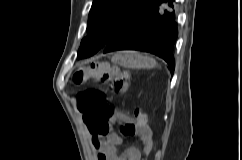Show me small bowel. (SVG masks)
<instances>
[{"label": "small bowel", "instance_id": "obj_1", "mask_svg": "<svg viewBox=\"0 0 242 160\" xmlns=\"http://www.w3.org/2000/svg\"><path fill=\"white\" fill-rule=\"evenodd\" d=\"M136 118L122 112H115L114 121L121 124L120 134L108 129L104 135L92 136V145L97 152V160H141L142 155H147L152 148V134L145 116L135 114ZM134 128L132 135L128 129ZM121 136L136 137L141 146H126L122 151L118 146L122 142Z\"/></svg>", "mask_w": 242, "mask_h": 160}]
</instances>
